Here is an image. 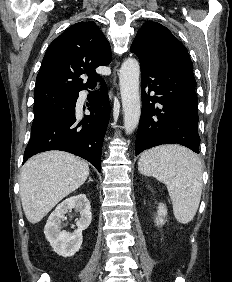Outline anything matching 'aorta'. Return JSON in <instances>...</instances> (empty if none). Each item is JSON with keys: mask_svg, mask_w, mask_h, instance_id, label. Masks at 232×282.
I'll return each instance as SVG.
<instances>
[{"mask_svg": "<svg viewBox=\"0 0 232 282\" xmlns=\"http://www.w3.org/2000/svg\"><path fill=\"white\" fill-rule=\"evenodd\" d=\"M140 66L136 59H126L120 68L119 85L124 111V128L131 134L137 127L141 114L139 95Z\"/></svg>", "mask_w": 232, "mask_h": 282, "instance_id": "762f6f07", "label": "aorta"}]
</instances>
